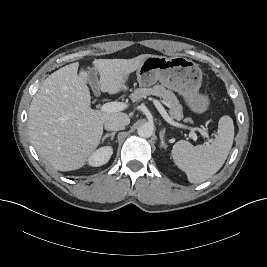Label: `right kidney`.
I'll return each mask as SVG.
<instances>
[{
  "label": "right kidney",
  "instance_id": "ca27d5eb",
  "mask_svg": "<svg viewBox=\"0 0 267 267\" xmlns=\"http://www.w3.org/2000/svg\"><path fill=\"white\" fill-rule=\"evenodd\" d=\"M113 154V149L110 146L101 147L93 152L88 158V163L91 166L99 167L106 164Z\"/></svg>",
  "mask_w": 267,
  "mask_h": 267
}]
</instances>
